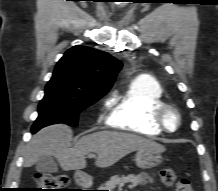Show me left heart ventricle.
<instances>
[{"mask_svg": "<svg viewBox=\"0 0 218 191\" xmlns=\"http://www.w3.org/2000/svg\"><path fill=\"white\" fill-rule=\"evenodd\" d=\"M165 122L166 125L170 129H174L177 125V117L176 114L173 111H168L165 116Z\"/></svg>", "mask_w": 218, "mask_h": 191, "instance_id": "b2bd125f", "label": "left heart ventricle"}]
</instances>
